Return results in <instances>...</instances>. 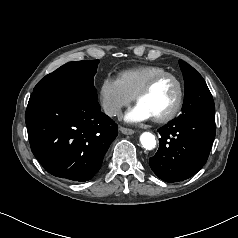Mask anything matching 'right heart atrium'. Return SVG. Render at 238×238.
<instances>
[{"instance_id": "1", "label": "right heart atrium", "mask_w": 238, "mask_h": 238, "mask_svg": "<svg viewBox=\"0 0 238 238\" xmlns=\"http://www.w3.org/2000/svg\"><path fill=\"white\" fill-rule=\"evenodd\" d=\"M99 96L104 112L110 117L117 116L132 101V97L123 90L118 80L111 77L102 81Z\"/></svg>"}]
</instances>
